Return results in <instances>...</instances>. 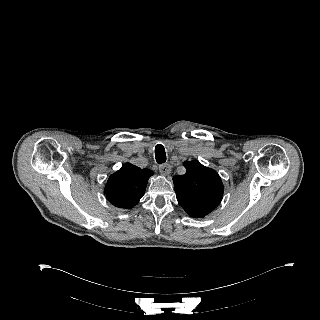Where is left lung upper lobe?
<instances>
[{
	"label": "left lung upper lobe",
	"instance_id": "left-lung-upper-lobe-1",
	"mask_svg": "<svg viewBox=\"0 0 320 320\" xmlns=\"http://www.w3.org/2000/svg\"><path fill=\"white\" fill-rule=\"evenodd\" d=\"M184 175L173 177L176 197L185 212L203 218L221 202L224 186L218 173L199 161H186Z\"/></svg>",
	"mask_w": 320,
	"mask_h": 320
}]
</instances>
